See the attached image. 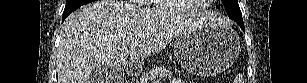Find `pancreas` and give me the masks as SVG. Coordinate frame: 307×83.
<instances>
[{"mask_svg":"<svg viewBox=\"0 0 307 83\" xmlns=\"http://www.w3.org/2000/svg\"><path fill=\"white\" fill-rule=\"evenodd\" d=\"M172 72L162 67H155L146 74L142 76L141 83L145 82L144 80H150L153 78H164V77H171Z\"/></svg>","mask_w":307,"mask_h":83,"instance_id":"obj_1","label":"pancreas"}]
</instances>
